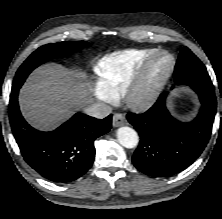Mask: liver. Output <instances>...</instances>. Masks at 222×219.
I'll list each match as a JSON object with an SVG mask.
<instances>
[{
  "mask_svg": "<svg viewBox=\"0 0 222 219\" xmlns=\"http://www.w3.org/2000/svg\"><path fill=\"white\" fill-rule=\"evenodd\" d=\"M83 79L82 73L56 63L37 68L19 94L25 119L41 130L57 127L90 103Z\"/></svg>",
  "mask_w": 222,
  "mask_h": 219,
  "instance_id": "6515ba94",
  "label": "liver"
}]
</instances>
